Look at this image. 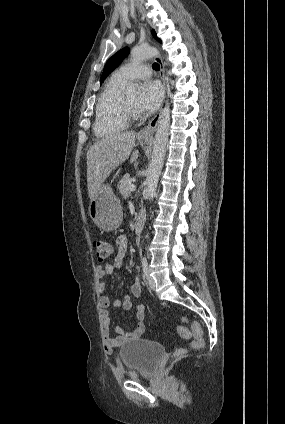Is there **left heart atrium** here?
I'll return each mask as SVG.
<instances>
[{
	"instance_id": "39dd6f15",
	"label": "left heart atrium",
	"mask_w": 285,
	"mask_h": 424,
	"mask_svg": "<svg viewBox=\"0 0 285 424\" xmlns=\"http://www.w3.org/2000/svg\"><path fill=\"white\" fill-rule=\"evenodd\" d=\"M163 91L156 81L147 80L142 84L136 110L143 113L155 111L162 100Z\"/></svg>"
}]
</instances>
